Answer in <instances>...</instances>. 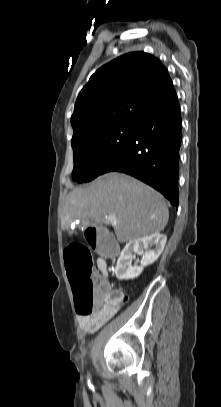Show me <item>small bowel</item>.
<instances>
[{"mask_svg":"<svg viewBox=\"0 0 221 407\" xmlns=\"http://www.w3.org/2000/svg\"><path fill=\"white\" fill-rule=\"evenodd\" d=\"M97 268L99 273L95 274V276L99 284L116 295H124L122 291L111 288L108 280L109 274L107 262L104 258L97 259ZM117 310L118 308L113 310H103L89 316H80L78 318L79 325L87 333H95L116 313Z\"/></svg>","mask_w":221,"mask_h":407,"instance_id":"1","label":"small bowel"}]
</instances>
